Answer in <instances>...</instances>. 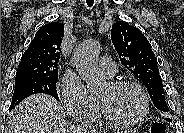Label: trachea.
Masks as SVG:
<instances>
[{
  "label": "trachea",
  "instance_id": "trachea-1",
  "mask_svg": "<svg viewBox=\"0 0 184 133\" xmlns=\"http://www.w3.org/2000/svg\"><path fill=\"white\" fill-rule=\"evenodd\" d=\"M88 7H92L94 0H86Z\"/></svg>",
  "mask_w": 184,
  "mask_h": 133
}]
</instances>
